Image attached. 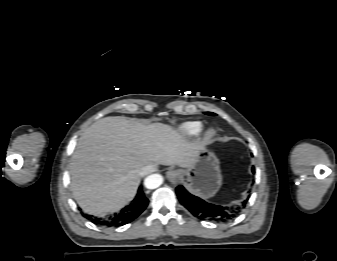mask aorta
<instances>
[{
  "label": "aorta",
  "instance_id": "1",
  "mask_svg": "<svg viewBox=\"0 0 337 261\" xmlns=\"http://www.w3.org/2000/svg\"><path fill=\"white\" fill-rule=\"evenodd\" d=\"M163 183V177L160 174H151L144 180L147 189H156Z\"/></svg>",
  "mask_w": 337,
  "mask_h": 261
}]
</instances>
